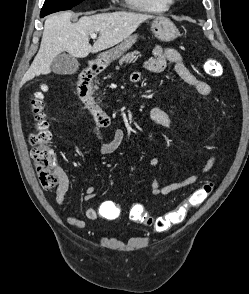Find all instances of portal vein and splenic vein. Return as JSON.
Here are the masks:
<instances>
[{
    "label": "portal vein and splenic vein",
    "mask_w": 249,
    "mask_h": 294,
    "mask_svg": "<svg viewBox=\"0 0 249 294\" xmlns=\"http://www.w3.org/2000/svg\"><path fill=\"white\" fill-rule=\"evenodd\" d=\"M91 37H92L93 39H95L97 36H96V34L92 33V34H91Z\"/></svg>",
    "instance_id": "portal-vein-and-splenic-vein-1"
}]
</instances>
